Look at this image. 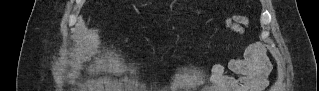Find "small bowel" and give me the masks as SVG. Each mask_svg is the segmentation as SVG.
<instances>
[{
    "label": "small bowel",
    "instance_id": "small-bowel-1",
    "mask_svg": "<svg viewBox=\"0 0 319 91\" xmlns=\"http://www.w3.org/2000/svg\"><path fill=\"white\" fill-rule=\"evenodd\" d=\"M246 22L244 17L237 16L229 22V25L235 32H240L241 27L245 25ZM246 54L252 61L259 64L260 67L255 69V67L250 64L233 56L228 61V69L235 74H246L245 77L235 78L224 74L223 67L218 63H214L211 67V72L216 84L222 85L226 90L230 91L262 90L267 83V75L270 70L265 49L262 44L255 43L248 47Z\"/></svg>",
    "mask_w": 319,
    "mask_h": 91
}]
</instances>
